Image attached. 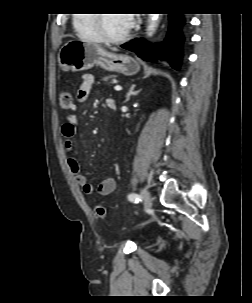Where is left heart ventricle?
<instances>
[{"instance_id":"b2bd125f","label":"left heart ventricle","mask_w":252,"mask_h":303,"mask_svg":"<svg viewBox=\"0 0 252 303\" xmlns=\"http://www.w3.org/2000/svg\"><path fill=\"white\" fill-rule=\"evenodd\" d=\"M128 28L129 23L126 14L110 13L104 15V29L110 36H120Z\"/></svg>"}]
</instances>
